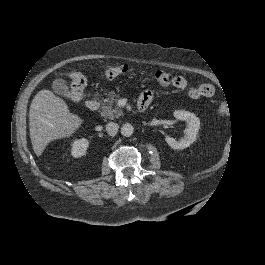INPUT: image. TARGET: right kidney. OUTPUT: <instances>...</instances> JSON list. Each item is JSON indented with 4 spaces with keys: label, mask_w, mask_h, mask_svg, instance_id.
Segmentation results:
<instances>
[{
    "label": "right kidney",
    "mask_w": 265,
    "mask_h": 265,
    "mask_svg": "<svg viewBox=\"0 0 265 265\" xmlns=\"http://www.w3.org/2000/svg\"><path fill=\"white\" fill-rule=\"evenodd\" d=\"M88 143L85 139H81L80 141L74 142L72 146V155L74 157H81L85 155L87 151Z\"/></svg>",
    "instance_id": "right-kidney-1"
}]
</instances>
